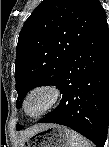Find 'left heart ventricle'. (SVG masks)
I'll list each match as a JSON object with an SVG mask.
<instances>
[{
	"instance_id": "obj_1",
	"label": "left heart ventricle",
	"mask_w": 109,
	"mask_h": 147,
	"mask_svg": "<svg viewBox=\"0 0 109 147\" xmlns=\"http://www.w3.org/2000/svg\"><path fill=\"white\" fill-rule=\"evenodd\" d=\"M48 97L45 94H34L27 101V109L30 114H37L47 103Z\"/></svg>"
}]
</instances>
